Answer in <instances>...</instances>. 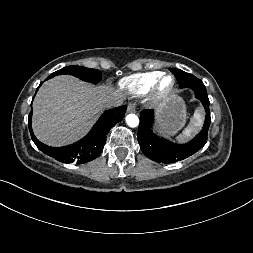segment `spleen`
I'll use <instances>...</instances> for the list:
<instances>
[{"instance_id": "obj_1", "label": "spleen", "mask_w": 253, "mask_h": 253, "mask_svg": "<svg viewBox=\"0 0 253 253\" xmlns=\"http://www.w3.org/2000/svg\"><path fill=\"white\" fill-rule=\"evenodd\" d=\"M202 111L197 109L194 112L193 117L190 120L189 125L184 129L182 134H180L176 139L179 142H186L189 138H191L194 134H196L199 128L202 126L203 119H202Z\"/></svg>"}]
</instances>
